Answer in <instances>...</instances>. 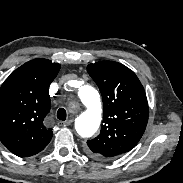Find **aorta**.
Instances as JSON below:
<instances>
[{
    "instance_id": "obj_1",
    "label": "aorta",
    "mask_w": 183,
    "mask_h": 183,
    "mask_svg": "<svg viewBox=\"0 0 183 183\" xmlns=\"http://www.w3.org/2000/svg\"><path fill=\"white\" fill-rule=\"evenodd\" d=\"M78 97L86 107L75 121V129L83 138L93 136L98 130L102 119V107L98 91L90 86L83 85L78 88Z\"/></svg>"
}]
</instances>
